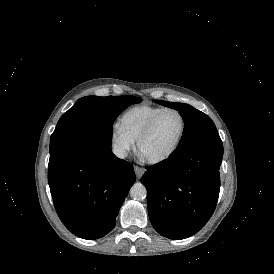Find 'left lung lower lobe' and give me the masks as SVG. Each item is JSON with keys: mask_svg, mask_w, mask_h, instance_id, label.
<instances>
[{"mask_svg": "<svg viewBox=\"0 0 274 274\" xmlns=\"http://www.w3.org/2000/svg\"><path fill=\"white\" fill-rule=\"evenodd\" d=\"M222 157V142H208L146 168L141 183L158 233L184 239L207 223L218 201Z\"/></svg>", "mask_w": 274, "mask_h": 274, "instance_id": "1", "label": "left lung lower lobe"}]
</instances>
